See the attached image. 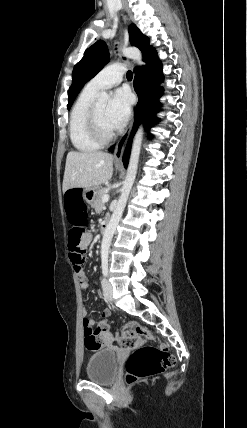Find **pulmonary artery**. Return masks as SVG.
I'll list each match as a JSON object with an SVG mask.
<instances>
[{"label": "pulmonary artery", "instance_id": "e3ab8cb5", "mask_svg": "<svg viewBox=\"0 0 247 428\" xmlns=\"http://www.w3.org/2000/svg\"><path fill=\"white\" fill-rule=\"evenodd\" d=\"M125 73V67L121 64H113L93 77L87 84L90 89L101 91L111 88L122 81Z\"/></svg>", "mask_w": 247, "mask_h": 428}]
</instances>
